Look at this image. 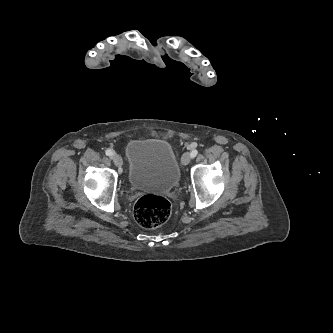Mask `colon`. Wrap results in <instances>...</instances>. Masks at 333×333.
<instances>
[{"instance_id": "colon-1", "label": "colon", "mask_w": 333, "mask_h": 333, "mask_svg": "<svg viewBox=\"0 0 333 333\" xmlns=\"http://www.w3.org/2000/svg\"><path fill=\"white\" fill-rule=\"evenodd\" d=\"M170 216V203L166 198L155 194H146L139 198L134 209L137 223L147 229L164 224Z\"/></svg>"}]
</instances>
